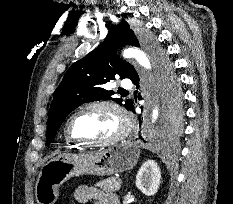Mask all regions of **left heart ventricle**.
Returning <instances> with one entry per match:
<instances>
[{"label":"left heart ventricle","instance_id":"obj_1","mask_svg":"<svg viewBox=\"0 0 233 204\" xmlns=\"http://www.w3.org/2000/svg\"><path fill=\"white\" fill-rule=\"evenodd\" d=\"M75 136L103 141L117 134L121 129L118 115L108 108H92L77 115L71 125Z\"/></svg>","mask_w":233,"mask_h":204}]
</instances>
